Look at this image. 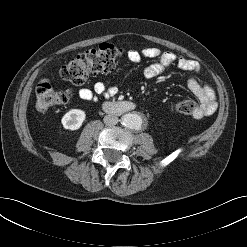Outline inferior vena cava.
Returning a JSON list of instances; mask_svg holds the SVG:
<instances>
[{"mask_svg": "<svg viewBox=\"0 0 247 247\" xmlns=\"http://www.w3.org/2000/svg\"><path fill=\"white\" fill-rule=\"evenodd\" d=\"M105 125L114 126L118 123V117L114 115H106L103 119Z\"/></svg>", "mask_w": 247, "mask_h": 247, "instance_id": "obj_1", "label": "inferior vena cava"}]
</instances>
